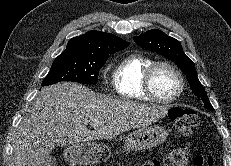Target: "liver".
I'll return each mask as SVG.
<instances>
[{
  "mask_svg": "<svg viewBox=\"0 0 231 166\" xmlns=\"http://www.w3.org/2000/svg\"><path fill=\"white\" fill-rule=\"evenodd\" d=\"M166 114L167 107L110 99L76 83L54 84L40 91L21 121L12 159L15 166H44L55 145L112 139Z\"/></svg>",
  "mask_w": 231,
  "mask_h": 166,
  "instance_id": "1",
  "label": "liver"
}]
</instances>
